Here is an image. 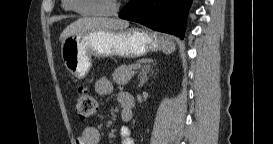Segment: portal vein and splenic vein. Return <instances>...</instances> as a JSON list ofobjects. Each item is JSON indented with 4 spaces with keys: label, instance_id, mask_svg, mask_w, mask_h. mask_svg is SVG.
<instances>
[{
    "label": "portal vein and splenic vein",
    "instance_id": "1",
    "mask_svg": "<svg viewBox=\"0 0 273 144\" xmlns=\"http://www.w3.org/2000/svg\"><path fill=\"white\" fill-rule=\"evenodd\" d=\"M140 68H141V64H137V65L134 66V70H138Z\"/></svg>",
    "mask_w": 273,
    "mask_h": 144
}]
</instances>
